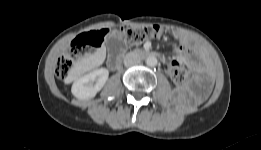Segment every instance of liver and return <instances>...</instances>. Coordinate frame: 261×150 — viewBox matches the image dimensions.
<instances>
[{"instance_id": "obj_1", "label": "liver", "mask_w": 261, "mask_h": 150, "mask_svg": "<svg viewBox=\"0 0 261 150\" xmlns=\"http://www.w3.org/2000/svg\"><path fill=\"white\" fill-rule=\"evenodd\" d=\"M105 54V47L102 46L96 54L90 55L79 63L78 72L81 74L100 66L105 60Z\"/></svg>"}]
</instances>
